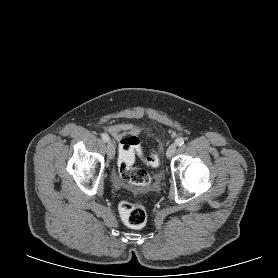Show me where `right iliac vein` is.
Segmentation results:
<instances>
[{"instance_id": "right-iliac-vein-1", "label": "right iliac vein", "mask_w": 278, "mask_h": 278, "mask_svg": "<svg viewBox=\"0 0 278 278\" xmlns=\"http://www.w3.org/2000/svg\"><path fill=\"white\" fill-rule=\"evenodd\" d=\"M107 155L109 159H113L115 155V145L111 141L107 143Z\"/></svg>"}]
</instances>
